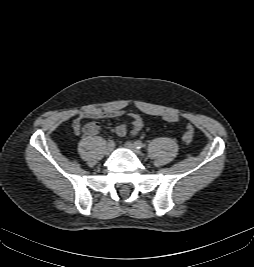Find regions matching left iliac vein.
I'll use <instances>...</instances> for the list:
<instances>
[{"label":"left iliac vein","mask_w":254,"mask_h":267,"mask_svg":"<svg viewBox=\"0 0 254 267\" xmlns=\"http://www.w3.org/2000/svg\"><path fill=\"white\" fill-rule=\"evenodd\" d=\"M125 146L131 151H133L136 155L138 156L142 155L141 151L136 147L134 143L128 141L125 143Z\"/></svg>","instance_id":"1"}]
</instances>
